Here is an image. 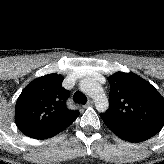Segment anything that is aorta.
Wrapping results in <instances>:
<instances>
[{
  "mask_svg": "<svg viewBox=\"0 0 164 164\" xmlns=\"http://www.w3.org/2000/svg\"><path fill=\"white\" fill-rule=\"evenodd\" d=\"M80 89L94 100L96 109L99 112H105L108 109L109 103L107 96L101 85L95 79L87 78L82 80L80 82Z\"/></svg>",
  "mask_w": 164,
  "mask_h": 164,
  "instance_id": "obj_1",
  "label": "aorta"
}]
</instances>
